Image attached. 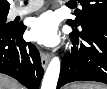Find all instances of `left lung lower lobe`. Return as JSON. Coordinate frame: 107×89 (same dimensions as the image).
Here are the masks:
<instances>
[{
  "instance_id": "obj_1",
  "label": "left lung lower lobe",
  "mask_w": 107,
  "mask_h": 89,
  "mask_svg": "<svg viewBox=\"0 0 107 89\" xmlns=\"http://www.w3.org/2000/svg\"><path fill=\"white\" fill-rule=\"evenodd\" d=\"M72 27L70 37L74 47L63 58L57 89L80 80L107 84V20H91L80 28Z\"/></svg>"
}]
</instances>
